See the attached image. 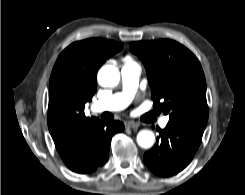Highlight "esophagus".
Instances as JSON below:
<instances>
[{"instance_id":"esophagus-1","label":"esophagus","mask_w":245,"mask_h":195,"mask_svg":"<svg viewBox=\"0 0 245 195\" xmlns=\"http://www.w3.org/2000/svg\"><path fill=\"white\" fill-rule=\"evenodd\" d=\"M139 127V123H136V122H128L126 124V128H129V129H138Z\"/></svg>"}]
</instances>
